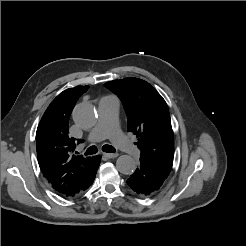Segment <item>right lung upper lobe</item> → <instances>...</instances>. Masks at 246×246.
Returning a JSON list of instances; mask_svg holds the SVG:
<instances>
[{
	"label": "right lung upper lobe",
	"instance_id": "1",
	"mask_svg": "<svg viewBox=\"0 0 246 246\" xmlns=\"http://www.w3.org/2000/svg\"><path fill=\"white\" fill-rule=\"evenodd\" d=\"M88 88L77 86L60 93L45 111L36 132L37 158L43 176L64 197L75 196L94 168V157L72 154L76 142L68 130L71 112Z\"/></svg>",
	"mask_w": 246,
	"mask_h": 246
}]
</instances>
